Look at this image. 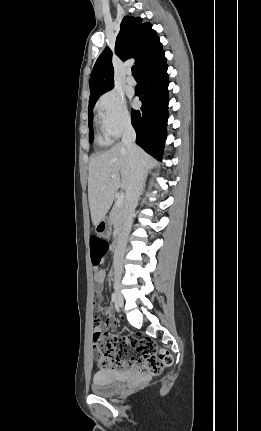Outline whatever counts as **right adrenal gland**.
<instances>
[{"mask_svg":"<svg viewBox=\"0 0 261 431\" xmlns=\"http://www.w3.org/2000/svg\"><path fill=\"white\" fill-rule=\"evenodd\" d=\"M146 177H147V175H146ZM145 182H146V179H145ZM144 187H145V183H144Z\"/></svg>","mask_w":261,"mask_h":431,"instance_id":"2a0ac1e0","label":"right adrenal gland"}]
</instances>
